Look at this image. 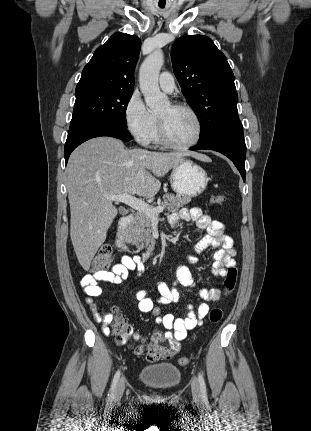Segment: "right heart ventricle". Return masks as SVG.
<instances>
[{
    "label": "right heart ventricle",
    "instance_id": "1",
    "mask_svg": "<svg viewBox=\"0 0 311 431\" xmlns=\"http://www.w3.org/2000/svg\"><path fill=\"white\" fill-rule=\"evenodd\" d=\"M154 122L150 132V138L154 142H158L157 118L153 115Z\"/></svg>",
    "mask_w": 311,
    "mask_h": 431
}]
</instances>
